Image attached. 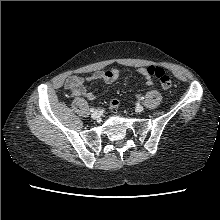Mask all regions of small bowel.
Here are the masks:
<instances>
[{"label": "small bowel", "mask_w": 220, "mask_h": 220, "mask_svg": "<svg viewBox=\"0 0 220 220\" xmlns=\"http://www.w3.org/2000/svg\"><path fill=\"white\" fill-rule=\"evenodd\" d=\"M139 74L143 76L147 85L152 84V76L147 72V68L143 67L138 70ZM119 72L117 69H109L105 71H95L89 77L84 78L78 75L69 76L65 81V88L71 91L72 95L75 97H85L88 100H94L96 98L95 94L87 90L84 87L85 81H97L103 80L106 83H112L117 80Z\"/></svg>", "instance_id": "c3829d8e"}]
</instances>
